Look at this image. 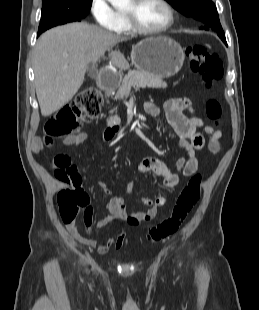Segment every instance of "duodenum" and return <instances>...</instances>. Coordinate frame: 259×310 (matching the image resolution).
I'll return each instance as SVG.
<instances>
[{"label":"duodenum","mask_w":259,"mask_h":310,"mask_svg":"<svg viewBox=\"0 0 259 310\" xmlns=\"http://www.w3.org/2000/svg\"><path fill=\"white\" fill-rule=\"evenodd\" d=\"M120 82V77L113 73L102 74L99 78V84L103 90L106 92L114 89ZM120 129V126L117 123H112L105 130V137L112 138L114 137Z\"/></svg>","instance_id":"1"}]
</instances>
